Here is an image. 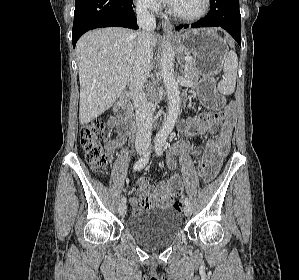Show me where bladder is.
Instances as JSON below:
<instances>
[{
  "label": "bladder",
  "instance_id": "31cf9c89",
  "mask_svg": "<svg viewBox=\"0 0 299 280\" xmlns=\"http://www.w3.org/2000/svg\"><path fill=\"white\" fill-rule=\"evenodd\" d=\"M126 229L141 245L150 249L162 248L181 233V213L166 206L146 208L127 221Z\"/></svg>",
  "mask_w": 299,
  "mask_h": 280
}]
</instances>
